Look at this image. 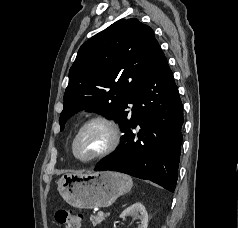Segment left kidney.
Instances as JSON below:
<instances>
[{
	"mask_svg": "<svg viewBox=\"0 0 238 228\" xmlns=\"http://www.w3.org/2000/svg\"><path fill=\"white\" fill-rule=\"evenodd\" d=\"M129 215L140 217L141 222L137 228H147L148 213H147L146 208L144 207L143 204H141L139 202L132 204L131 206H129L127 209H125L121 213L120 218H125Z\"/></svg>",
	"mask_w": 238,
	"mask_h": 228,
	"instance_id": "left-kidney-1",
	"label": "left kidney"
}]
</instances>
